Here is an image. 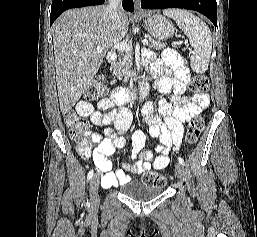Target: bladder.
<instances>
[{
    "label": "bladder",
    "mask_w": 257,
    "mask_h": 237,
    "mask_svg": "<svg viewBox=\"0 0 257 237\" xmlns=\"http://www.w3.org/2000/svg\"><path fill=\"white\" fill-rule=\"evenodd\" d=\"M162 193L161 186L149 185L141 181H131L126 185L125 194L130 198L143 202L151 200Z\"/></svg>",
    "instance_id": "bladder-1"
}]
</instances>
